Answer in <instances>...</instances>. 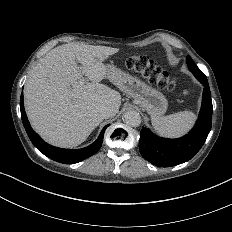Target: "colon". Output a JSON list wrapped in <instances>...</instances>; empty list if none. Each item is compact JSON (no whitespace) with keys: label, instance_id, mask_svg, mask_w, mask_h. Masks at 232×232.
<instances>
[{"label":"colon","instance_id":"obj_1","mask_svg":"<svg viewBox=\"0 0 232 232\" xmlns=\"http://www.w3.org/2000/svg\"><path fill=\"white\" fill-rule=\"evenodd\" d=\"M128 60L130 70H133V73H143L145 78L149 79L150 86H167V91L175 90L174 86H170V82H175V77H170V74H162V66L148 65L149 56H129Z\"/></svg>","mask_w":232,"mask_h":232}]
</instances>
